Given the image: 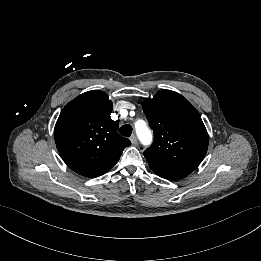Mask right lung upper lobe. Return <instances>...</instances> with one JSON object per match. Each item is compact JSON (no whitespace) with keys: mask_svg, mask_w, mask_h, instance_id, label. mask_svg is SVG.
I'll return each instance as SVG.
<instances>
[{"mask_svg":"<svg viewBox=\"0 0 261 261\" xmlns=\"http://www.w3.org/2000/svg\"><path fill=\"white\" fill-rule=\"evenodd\" d=\"M112 101L99 90L85 92L62 110L54 130L63 161L86 177L101 176L119 160L131 142L117 133L119 124L110 114Z\"/></svg>","mask_w":261,"mask_h":261,"instance_id":"right-lung-upper-lobe-1","label":"right lung upper lobe"}]
</instances>
